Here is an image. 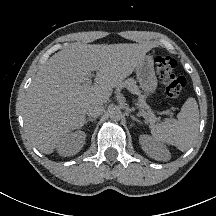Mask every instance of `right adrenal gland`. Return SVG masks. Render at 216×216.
Masks as SVG:
<instances>
[{
	"mask_svg": "<svg viewBox=\"0 0 216 216\" xmlns=\"http://www.w3.org/2000/svg\"><path fill=\"white\" fill-rule=\"evenodd\" d=\"M97 119V117H94V118H88L86 121H85V124H87L88 122H93Z\"/></svg>",
	"mask_w": 216,
	"mask_h": 216,
	"instance_id": "2a0ac1e0",
	"label": "right adrenal gland"
}]
</instances>
